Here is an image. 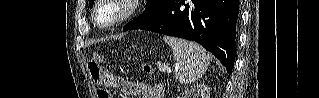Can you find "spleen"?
<instances>
[{"label":"spleen","instance_id":"obj_1","mask_svg":"<svg viewBox=\"0 0 319 98\" xmlns=\"http://www.w3.org/2000/svg\"><path fill=\"white\" fill-rule=\"evenodd\" d=\"M172 48L173 58L177 61L176 78L181 84H189L205 74L210 55L194 42L181 40L169 36L163 37Z\"/></svg>","mask_w":319,"mask_h":98}]
</instances>
